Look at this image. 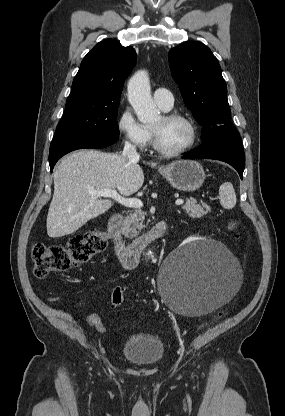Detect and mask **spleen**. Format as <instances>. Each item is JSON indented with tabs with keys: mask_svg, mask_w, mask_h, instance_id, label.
<instances>
[{
	"mask_svg": "<svg viewBox=\"0 0 285 416\" xmlns=\"http://www.w3.org/2000/svg\"><path fill=\"white\" fill-rule=\"evenodd\" d=\"M220 204L225 210H232L236 206V194L230 182H225L219 188Z\"/></svg>",
	"mask_w": 285,
	"mask_h": 416,
	"instance_id": "obj_1",
	"label": "spleen"
}]
</instances>
